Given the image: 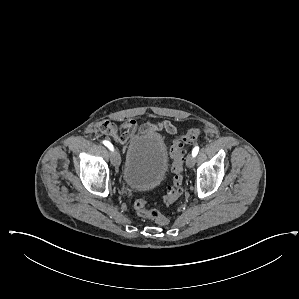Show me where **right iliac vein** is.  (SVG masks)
Returning a JSON list of instances; mask_svg holds the SVG:
<instances>
[{
	"mask_svg": "<svg viewBox=\"0 0 299 299\" xmlns=\"http://www.w3.org/2000/svg\"><path fill=\"white\" fill-rule=\"evenodd\" d=\"M120 161H121V160H120V155H119L118 151L115 150V151L113 152L112 156H111V162H112L113 166H114L116 169L119 168V166H120Z\"/></svg>",
	"mask_w": 299,
	"mask_h": 299,
	"instance_id": "right-iliac-vein-1",
	"label": "right iliac vein"
}]
</instances>
